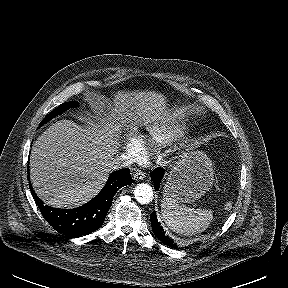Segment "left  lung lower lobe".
Listing matches in <instances>:
<instances>
[{
	"mask_svg": "<svg viewBox=\"0 0 288 288\" xmlns=\"http://www.w3.org/2000/svg\"><path fill=\"white\" fill-rule=\"evenodd\" d=\"M163 176H164V169L163 168H157L151 174V180L154 183V189L157 191L159 189L160 182H161ZM150 220H151V226H152L153 232L156 235V237L160 241H162L164 244H166L167 246L175 248L176 244H174V242L170 238H168V236L165 234L162 226L158 222L155 211H153L151 213Z\"/></svg>",
	"mask_w": 288,
	"mask_h": 288,
	"instance_id": "0a47b994",
	"label": "left lung lower lobe"
}]
</instances>
